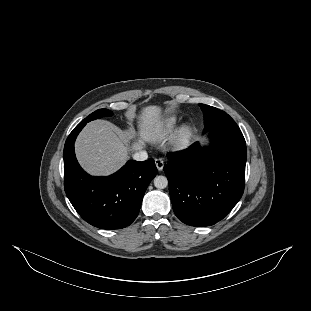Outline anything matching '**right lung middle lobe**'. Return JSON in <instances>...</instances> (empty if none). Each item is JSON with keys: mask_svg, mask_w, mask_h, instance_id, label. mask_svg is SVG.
Listing matches in <instances>:
<instances>
[{"mask_svg": "<svg viewBox=\"0 0 311 311\" xmlns=\"http://www.w3.org/2000/svg\"><path fill=\"white\" fill-rule=\"evenodd\" d=\"M111 115H112V112L110 110L99 109V110L93 112L92 114H90L84 120H82L81 123H87V122H90L91 120L99 119V118H102L104 116H111Z\"/></svg>", "mask_w": 311, "mask_h": 311, "instance_id": "dd1d6c3e", "label": "right lung middle lobe"}]
</instances>
